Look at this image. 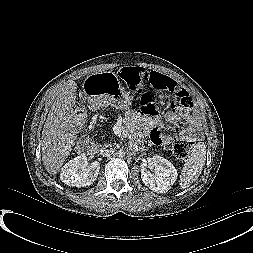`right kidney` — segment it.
<instances>
[{
    "instance_id": "obj_1",
    "label": "right kidney",
    "mask_w": 253,
    "mask_h": 253,
    "mask_svg": "<svg viewBox=\"0 0 253 253\" xmlns=\"http://www.w3.org/2000/svg\"><path fill=\"white\" fill-rule=\"evenodd\" d=\"M100 169V163L95 161L88 165L87 157L80 155L66 163L60 174V179L72 187H84L93 184Z\"/></svg>"
}]
</instances>
